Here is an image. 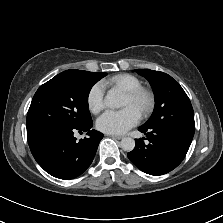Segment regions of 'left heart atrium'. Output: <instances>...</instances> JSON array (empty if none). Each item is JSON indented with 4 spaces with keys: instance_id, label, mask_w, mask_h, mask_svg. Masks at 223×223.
Returning a JSON list of instances; mask_svg holds the SVG:
<instances>
[{
    "instance_id": "left-heart-atrium-1",
    "label": "left heart atrium",
    "mask_w": 223,
    "mask_h": 223,
    "mask_svg": "<svg viewBox=\"0 0 223 223\" xmlns=\"http://www.w3.org/2000/svg\"><path fill=\"white\" fill-rule=\"evenodd\" d=\"M140 112L133 105L121 110H107L97 120V126L106 133H124L140 120Z\"/></svg>"
}]
</instances>
